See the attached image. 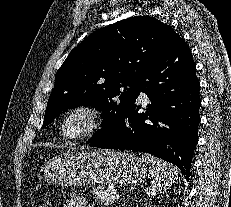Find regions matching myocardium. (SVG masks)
<instances>
[{"label":"myocardium","instance_id":"f54148a6","mask_svg":"<svg viewBox=\"0 0 231 207\" xmlns=\"http://www.w3.org/2000/svg\"><path fill=\"white\" fill-rule=\"evenodd\" d=\"M77 115L83 116L87 125L83 132L71 136L66 132V125L68 121ZM103 118L100 111L94 106L87 104H80L68 109L62 116L59 126L60 135L67 141L77 142L90 138L96 134L102 127Z\"/></svg>","mask_w":231,"mask_h":207}]
</instances>
